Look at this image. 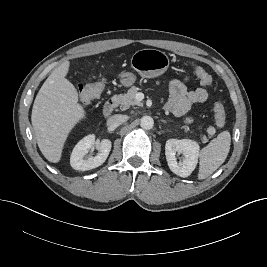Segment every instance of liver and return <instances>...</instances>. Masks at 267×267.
<instances>
[{
  "instance_id": "liver-1",
  "label": "liver",
  "mask_w": 267,
  "mask_h": 267,
  "mask_svg": "<svg viewBox=\"0 0 267 267\" xmlns=\"http://www.w3.org/2000/svg\"><path fill=\"white\" fill-rule=\"evenodd\" d=\"M70 62L65 61L49 75L32 108L31 121L38 147L53 163L60 161L65 141L86 113L75 86L66 79Z\"/></svg>"
}]
</instances>
